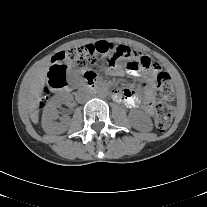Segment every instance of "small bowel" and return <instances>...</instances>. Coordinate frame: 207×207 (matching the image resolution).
I'll return each instance as SVG.
<instances>
[{"label":"small bowel","instance_id":"obj_1","mask_svg":"<svg viewBox=\"0 0 207 207\" xmlns=\"http://www.w3.org/2000/svg\"><path fill=\"white\" fill-rule=\"evenodd\" d=\"M126 72L134 76L142 74V72L139 69L132 71L129 70L127 67ZM108 73L113 76H121L123 75L124 71L120 68L113 67L108 69ZM112 95L114 100L124 103L129 108H136L141 102H143L146 112L148 114L153 113L154 92L151 84L142 85V96H139L133 90L126 88H115L112 92Z\"/></svg>","mask_w":207,"mask_h":207}]
</instances>
